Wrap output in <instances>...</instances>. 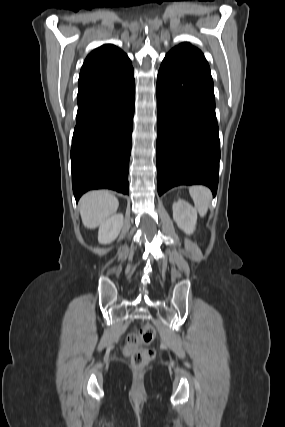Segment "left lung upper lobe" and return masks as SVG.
<instances>
[{
	"instance_id": "left-lung-upper-lobe-1",
	"label": "left lung upper lobe",
	"mask_w": 285,
	"mask_h": 427,
	"mask_svg": "<svg viewBox=\"0 0 285 427\" xmlns=\"http://www.w3.org/2000/svg\"><path fill=\"white\" fill-rule=\"evenodd\" d=\"M168 54L176 55L184 59H187L199 69L210 74V68L203 53L198 48L192 46L188 42L179 44L178 46L171 49V51Z\"/></svg>"
}]
</instances>
